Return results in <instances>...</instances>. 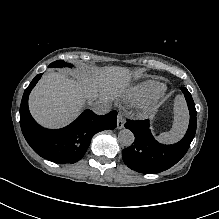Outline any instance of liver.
Returning a JSON list of instances; mask_svg holds the SVG:
<instances>
[{
	"mask_svg": "<svg viewBox=\"0 0 219 219\" xmlns=\"http://www.w3.org/2000/svg\"><path fill=\"white\" fill-rule=\"evenodd\" d=\"M80 74L48 72L42 76L29 97V109L34 119L44 127L61 128L75 120L88 99L116 95L131 79L130 70L125 67L95 68Z\"/></svg>",
	"mask_w": 219,
	"mask_h": 219,
	"instance_id": "1",
	"label": "liver"
}]
</instances>
